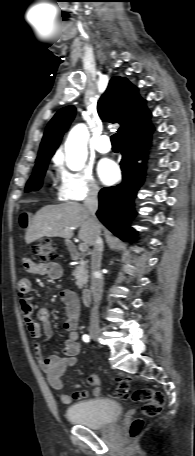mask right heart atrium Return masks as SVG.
Wrapping results in <instances>:
<instances>
[{
  "label": "right heart atrium",
  "instance_id": "obj_1",
  "mask_svg": "<svg viewBox=\"0 0 195 456\" xmlns=\"http://www.w3.org/2000/svg\"><path fill=\"white\" fill-rule=\"evenodd\" d=\"M99 186L91 171H70L63 166L59 170L57 196L61 201H82L99 193Z\"/></svg>",
  "mask_w": 195,
  "mask_h": 456
}]
</instances>
